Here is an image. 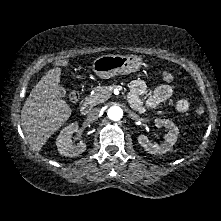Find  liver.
<instances>
[{"mask_svg":"<svg viewBox=\"0 0 221 221\" xmlns=\"http://www.w3.org/2000/svg\"><path fill=\"white\" fill-rule=\"evenodd\" d=\"M61 68L49 70L34 86L21 111V125L34 152L71 116V108L59 94Z\"/></svg>","mask_w":221,"mask_h":221,"instance_id":"6515ba94","label":"liver"}]
</instances>
